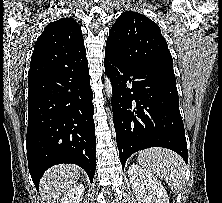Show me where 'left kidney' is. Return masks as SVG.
Wrapping results in <instances>:
<instances>
[{
  "mask_svg": "<svg viewBox=\"0 0 222 203\" xmlns=\"http://www.w3.org/2000/svg\"><path fill=\"white\" fill-rule=\"evenodd\" d=\"M127 172L138 203H169L164 186L147 169L131 164Z\"/></svg>",
  "mask_w": 222,
  "mask_h": 203,
  "instance_id": "1",
  "label": "left kidney"
}]
</instances>
